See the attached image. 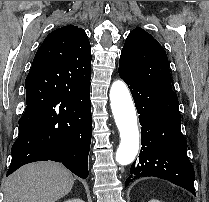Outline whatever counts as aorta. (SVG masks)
Listing matches in <instances>:
<instances>
[{
	"instance_id": "1",
	"label": "aorta",
	"mask_w": 209,
	"mask_h": 202,
	"mask_svg": "<svg viewBox=\"0 0 209 202\" xmlns=\"http://www.w3.org/2000/svg\"><path fill=\"white\" fill-rule=\"evenodd\" d=\"M110 105L120 133L116 161L120 165H128L138 153L140 135L132 97L127 85L121 80L113 82L111 86Z\"/></svg>"
}]
</instances>
